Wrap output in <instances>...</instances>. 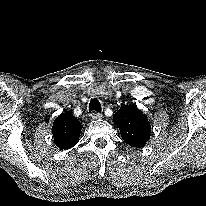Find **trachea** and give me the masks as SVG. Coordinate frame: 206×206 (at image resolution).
<instances>
[{"label": "trachea", "instance_id": "3493384b", "mask_svg": "<svg viewBox=\"0 0 206 206\" xmlns=\"http://www.w3.org/2000/svg\"><path fill=\"white\" fill-rule=\"evenodd\" d=\"M92 112H98V113L101 112V104L99 100L96 98L91 99L89 103V113H92Z\"/></svg>", "mask_w": 206, "mask_h": 206}]
</instances>
